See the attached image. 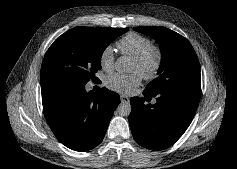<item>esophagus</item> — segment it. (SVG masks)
<instances>
[{"label": "esophagus", "instance_id": "1", "mask_svg": "<svg viewBox=\"0 0 237 169\" xmlns=\"http://www.w3.org/2000/svg\"><path fill=\"white\" fill-rule=\"evenodd\" d=\"M120 100L121 102H125V103H128L130 101V99L126 96H123V95H120Z\"/></svg>", "mask_w": 237, "mask_h": 169}]
</instances>
